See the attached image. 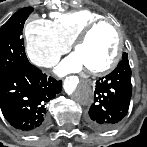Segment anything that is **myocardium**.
Masks as SVG:
<instances>
[{
	"label": "myocardium",
	"mask_w": 147,
	"mask_h": 147,
	"mask_svg": "<svg viewBox=\"0 0 147 147\" xmlns=\"http://www.w3.org/2000/svg\"><path fill=\"white\" fill-rule=\"evenodd\" d=\"M102 25H109L116 31L117 37H118V43H117V48L112 60L106 66L100 69H87V72L92 76L105 75L109 73L110 71H112L119 63L120 58L122 56V51H123V38L120 32V29L117 26H115L110 20L102 18L88 24L85 28H83L80 31V33L76 36V38L72 42V49L75 52L77 48L87 40L91 32L97 27Z\"/></svg>",
	"instance_id": "obj_1"
}]
</instances>
